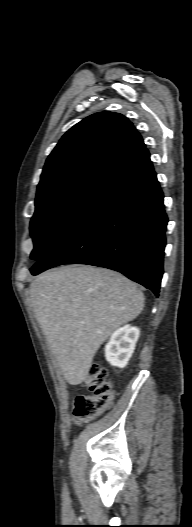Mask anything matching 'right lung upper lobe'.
I'll return each mask as SVG.
<instances>
[{
    "instance_id": "right-lung-upper-lobe-1",
    "label": "right lung upper lobe",
    "mask_w": 192,
    "mask_h": 527,
    "mask_svg": "<svg viewBox=\"0 0 192 527\" xmlns=\"http://www.w3.org/2000/svg\"><path fill=\"white\" fill-rule=\"evenodd\" d=\"M123 115L104 111L74 125L47 158L37 193L85 177L109 181L145 150Z\"/></svg>"
}]
</instances>
